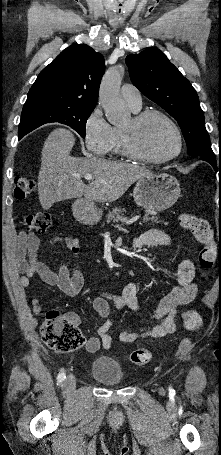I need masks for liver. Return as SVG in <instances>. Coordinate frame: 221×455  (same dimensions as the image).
I'll list each match as a JSON object with an SVG mask.
<instances>
[{"label":"liver","mask_w":221,"mask_h":455,"mask_svg":"<svg viewBox=\"0 0 221 455\" xmlns=\"http://www.w3.org/2000/svg\"><path fill=\"white\" fill-rule=\"evenodd\" d=\"M75 144L73 133L65 128L53 130L46 138L41 152L38 175V195L43 209L54 203L81 198L88 202H113L142 177L153 173L127 162L108 161L97 157H73ZM85 174L93 176L86 185Z\"/></svg>","instance_id":"6515ba94"}]
</instances>
